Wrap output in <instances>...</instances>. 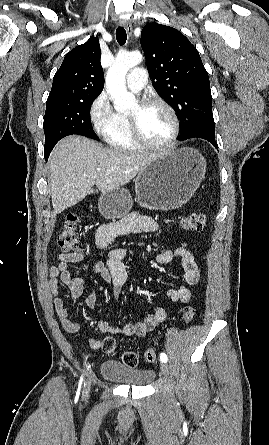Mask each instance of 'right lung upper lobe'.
<instances>
[{
    "label": "right lung upper lobe",
    "instance_id": "1",
    "mask_svg": "<svg viewBox=\"0 0 269 445\" xmlns=\"http://www.w3.org/2000/svg\"><path fill=\"white\" fill-rule=\"evenodd\" d=\"M98 38L68 52L53 78L49 97L99 95L104 87Z\"/></svg>",
    "mask_w": 269,
    "mask_h": 445
}]
</instances>
